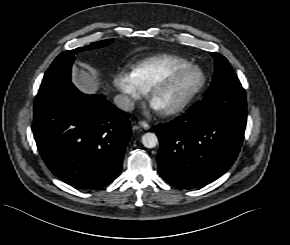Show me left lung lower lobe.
<instances>
[{"label": "left lung lower lobe", "instance_id": "obj_1", "mask_svg": "<svg viewBox=\"0 0 290 245\" xmlns=\"http://www.w3.org/2000/svg\"><path fill=\"white\" fill-rule=\"evenodd\" d=\"M246 119V95L238 87L205 96L185 114L157 125L160 175L179 188L213 182L234 163Z\"/></svg>", "mask_w": 290, "mask_h": 245}]
</instances>
